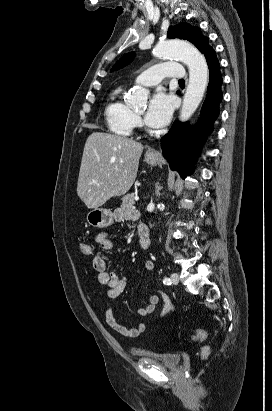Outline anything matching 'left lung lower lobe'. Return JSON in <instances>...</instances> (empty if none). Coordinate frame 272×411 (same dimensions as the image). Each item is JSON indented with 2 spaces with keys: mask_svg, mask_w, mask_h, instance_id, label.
<instances>
[{
  "mask_svg": "<svg viewBox=\"0 0 272 411\" xmlns=\"http://www.w3.org/2000/svg\"><path fill=\"white\" fill-rule=\"evenodd\" d=\"M209 67V84L207 95L200 112V118L194 128L188 123L175 121L170 131L161 138V149L164 158L172 170H177L182 178L193 171L198 150L212 131L213 123L219 114V103L222 100V76L216 53L211 49L205 55Z\"/></svg>",
  "mask_w": 272,
  "mask_h": 411,
  "instance_id": "1",
  "label": "left lung lower lobe"
}]
</instances>
